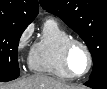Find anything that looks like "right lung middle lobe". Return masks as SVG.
I'll return each mask as SVG.
<instances>
[{
  "label": "right lung middle lobe",
  "mask_w": 107,
  "mask_h": 89,
  "mask_svg": "<svg viewBox=\"0 0 107 89\" xmlns=\"http://www.w3.org/2000/svg\"><path fill=\"white\" fill-rule=\"evenodd\" d=\"M27 25L0 20V81L7 82L20 75L17 49Z\"/></svg>",
  "instance_id": "1"
}]
</instances>
